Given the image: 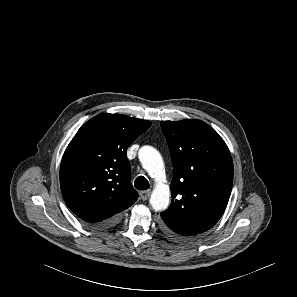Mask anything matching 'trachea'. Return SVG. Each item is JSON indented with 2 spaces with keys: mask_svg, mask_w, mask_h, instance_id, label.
<instances>
[{
  "mask_svg": "<svg viewBox=\"0 0 297 297\" xmlns=\"http://www.w3.org/2000/svg\"><path fill=\"white\" fill-rule=\"evenodd\" d=\"M134 186L138 190H147L150 187L148 180L144 176H138L135 179Z\"/></svg>",
  "mask_w": 297,
  "mask_h": 297,
  "instance_id": "1",
  "label": "trachea"
}]
</instances>
